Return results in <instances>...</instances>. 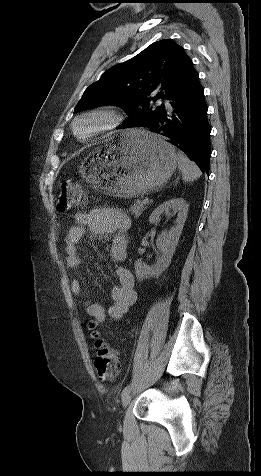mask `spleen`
I'll return each instance as SVG.
<instances>
[{"label": "spleen", "mask_w": 261, "mask_h": 476, "mask_svg": "<svg viewBox=\"0 0 261 476\" xmlns=\"http://www.w3.org/2000/svg\"><path fill=\"white\" fill-rule=\"evenodd\" d=\"M178 167L181 170L182 178L185 182H192L201 176V171L197 165L190 161L183 153L176 154Z\"/></svg>", "instance_id": "3e777b00"}]
</instances>
